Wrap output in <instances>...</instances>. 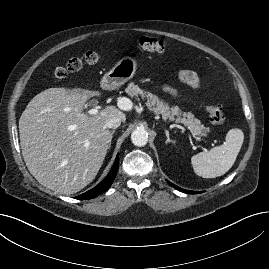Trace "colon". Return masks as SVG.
<instances>
[{
    "instance_id": "1",
    "label": "colon",
    "mask_w": 269,
    "mask_h": 269,
    "mask_svg": "<svg viewBox=\"0 0 269 269\" xmlns=\"http://www.w3.org/2000/svg\"><path fill=\"white\" fill-rule=\"evenodd\" d=\"M141 50L160 54L165 50V43L160 38L155 37H141L138 42ZM101 60V56L94 51H89L81 56L70 58L64 65L57 66L54 69V78L60 80L65 78L70 73L80 71L86 65H95ZM206 111L209 115V121L212 125L221 126L225 122V114L220 106L215 104H208Z\"/></svg>"
}]
</instances>
